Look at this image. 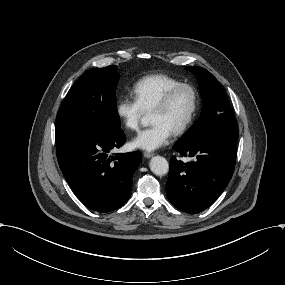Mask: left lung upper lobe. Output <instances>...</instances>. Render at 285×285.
I'll return each mask as SVG.
<instances>
[{
	"instance_id": "left-lung-upper-lobe-1",
	"label": "left lung upper lobe",
	"mask_w": 285,
	"mask_h": 285,
	"mask_svg": "<svg viewBox=\"0 0 285 285\" xmlns=\"http://www.w3.org/2000/svg\"><path fill=\"white\" fill-rule=\"evenodd\" d=\"M187 69L197 75L204 106L201 117L177 142L178 146L188 145L221 126L236 125L227 96L217 79L204 68L188 66Z\"/></svg>"
}]
</instances>
